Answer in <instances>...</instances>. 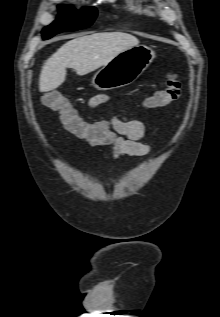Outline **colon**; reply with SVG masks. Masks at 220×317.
Wrapping results in <instances>:
<instances>
[{
	"instance_id": "5ec220e1",
	"label": "colon",
	"mask_w": 220,
	"mask_h": 317,
	"mask_svg": "<svg viewBox=\"0 0 220 317\" xmlns=\"http://www.w3.org/2000/svg\"><path fill=\"white\" fill-rule=\"evenodd\" d=\"M181 94V84L175 74L167 78L166 87L156 91L146 100V106L151 109L164 107L176 101ZM43 103L58 113L62 123L72 132L84 130L86 123L79 117L76 110L68 99L59 92L46 90L42 94ZM100 123V130L106 131L108 126L105 122Z\"/></svg>"
}]
</instances>
